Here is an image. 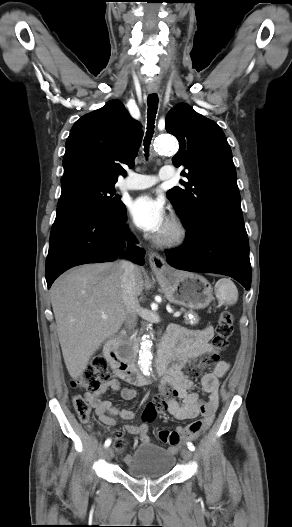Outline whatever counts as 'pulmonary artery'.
<instances>
[{
    "label": "pulmonary artery",
    "mask_w": 292,
    "mask_h": 527,
    "mask_svg": "<svg viewBox=\"0 0 292 527\" xmlns=\"http://www.w3.org/2000/svg\"><path fill=\"white\" fill-rule=\"evenodd\" d=\"M174 176V169L172 166H163L157 176L145 175L138 173H130V175L121 183L123 189L140 190L152 187L161 180H169Z\"/></svg>",
    "instance_id": "obj_1"
}]
</instances>
